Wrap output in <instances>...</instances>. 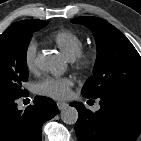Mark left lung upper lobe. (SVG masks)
I'll list each match as a JSON object with an SVG mask.
<instances>
[{"label":"left lung upper lobe","mask_w":141,"mask_h":141,"mask_svg":"<svg viewBox=\"0 0 141 141\" xmlns=\"http://www.w3.org/2000/svg\"><path fill=\"white\" fill-rule=\"evenodd\" d=\"M72 23L88 27L97 45L93 76L86 81L82 94L91 98L108 93L141 97V57L131 42L101 18L78 17Z\"/></svg>","instance_id":"obj_1"}]
</instances>
